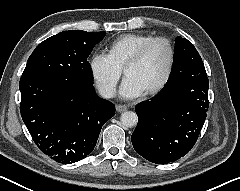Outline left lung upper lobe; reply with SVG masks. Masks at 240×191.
I'll use <instances>...</instances> for the list:
<instances>
[{
    "mask_svg": "<svg viewBox=\"0 0 240 191\" xmlns=\"http://www.w3.org/2000/svg\"><path fill=\"white\" fill-rule=\"evenodd\" d=\"M180 65L205 68L199 53L192 43L187 39L178 36L175 39L174 67Z\"/></svg>",
    "mask_w": 240,
    "mask_h": 191,
    "instance_id": "obj_1",
    "label": "left lung upper lobe"
}]
</instances>
